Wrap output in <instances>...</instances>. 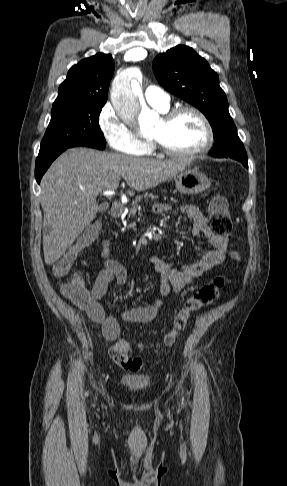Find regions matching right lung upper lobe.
I'll use <instances>...</instances> for the list:
<instances>
[{
	"label": "right lung upper lobe",
	"instance_id": "cb5924a9",
	"mask_svg": "<svg viewBox=\"0 0 287 486\" xmlns=\"http://www.w3.org/2000/svg\"><path fill=\"white\" fill-rule=\"evenodd\" d=\"M114 72L110 54L98 53L72 66L60 85L53 106L84 101L106 102Z\"/></svg>",
	"mask_w": 287,
	"mask_h": 486
}]
</instances>
